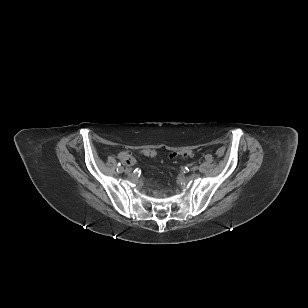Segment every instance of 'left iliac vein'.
<instances>
[{
  "mask_svg": "<svg viewBox=\"0 0 308 308\" xmlns=\"http://www.w3.org/2000/svg\"><path fill=\"white\" fill-rule=\"evenodd\" d=\"M197 169H198V166H193V167L191 168L192 171H196Z\"/></svg>",
  "mask_w": 308,
  "mask_h": 308,
  "instance_id": "4c4485c4",
  "label": "left iliac vein"
}]
</instances>
